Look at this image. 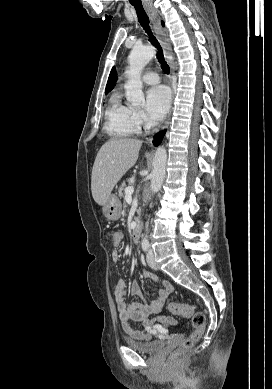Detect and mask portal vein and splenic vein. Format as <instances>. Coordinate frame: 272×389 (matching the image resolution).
Here are the masks:
<instances>
[{
  "instance_id": "18ae733b",
  "label": "portal vein and splenic vein",
  "mask_w": 272,
  "mask_h": 389,
  "mask_svg": "<svg viewBox=\"0 0 272 389\" xmlns=\"http://www.w3.org/2000/svg\"><path fill=\"white\" fill-rule=\"evenodd\" d=\"M134 192V188L132 186H129L125 189V195L126 196H131Z\"/></svg>"
}]
</instances>
